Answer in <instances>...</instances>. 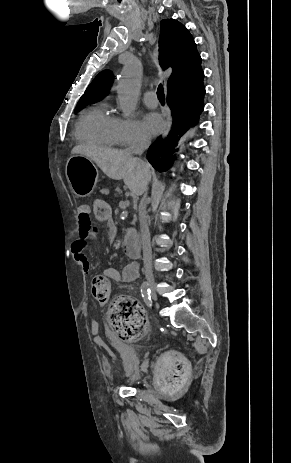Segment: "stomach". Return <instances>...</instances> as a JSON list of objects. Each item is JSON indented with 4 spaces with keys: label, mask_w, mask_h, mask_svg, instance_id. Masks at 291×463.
I'll return each mask as SVG.
<instances>
[{
    "label": "stomach",
    "mask_w": 291,
    "mask_h": 463,
    "mask_svg": "<svg viewBox=\"0 0 291 463\" xmlns=\"http://www.w3.org/2000/svg\"><path fill=\"white\" fill-rule=\"evenodd\" d=\"M65 172L75 195L86 197L94 189L97 182V169L89 158L78 154L72 155L67 161Z\"/></svg>",
    "instance_id": "0dacf381"
}]
</instances>
